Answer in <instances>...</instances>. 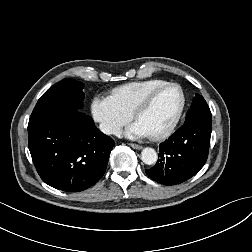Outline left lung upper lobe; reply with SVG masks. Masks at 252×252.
Returning a JSON list of instances; mask_svg holds the SVG:
<instances>
[{"label":"left lung upper lobe","instance_id":"5c2ea615","mask_svg":"<svg viewBox=\"0 0 252 252\" xmlns=\"http://www.w3.org/2000/svg\"><path fill=\"white\" fill-rule=\"evenodd\" d=\"M193 120H212L210 109L202 96L196 94L190 110L187 112L185 123Z\"/></svg>","mask_w":252,"mask_h":252}]
</instances>
